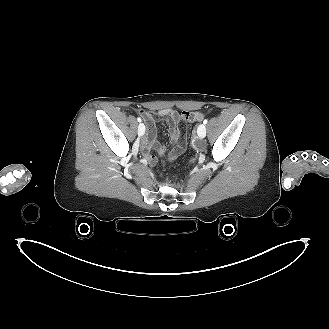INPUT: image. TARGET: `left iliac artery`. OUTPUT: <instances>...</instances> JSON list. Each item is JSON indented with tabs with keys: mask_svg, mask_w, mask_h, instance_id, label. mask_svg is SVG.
Masks as SVG:
<instances>
[{
	"mask_svg": "<svg viewBox=\"0 0 329 329\" xmlns=\"http://www.w3.org/2000/svg\"><path fill=\"white\" fill-rule=\"evenodd\" d=\"M207 122H208V120H207V119H205V120L203 121V124H207Z\"/></svg>",
	"mask_w": 329,
	"mask_h": 329,
	"instance_id": "obj_1",
	"label": "left iliac artery"
}]
</instances>
